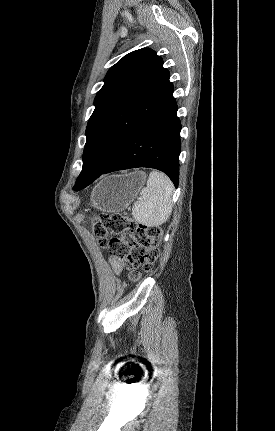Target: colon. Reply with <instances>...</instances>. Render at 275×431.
Wrapping results in <instances>:
<instances>
[{
    "mask_svg": "<svg viewBox=\"0 0 275 431\" xmlns=\"http://www.w3.org/2000/svg\"><path fill=\"white\" fill-rule=\"evenodd\" d=\"M91 226L100 245L122 261L130 281L152 270L159 256L160 226L141 225L123 214H102L91 220ZM108 235L115 237L108 240Z\"/></svg>",
    "mask_w": 275,
    "mask_h": 431,
    "instance_id": "colon-1",
    "label": "colon"
}]
</instances>
